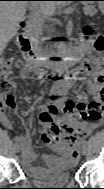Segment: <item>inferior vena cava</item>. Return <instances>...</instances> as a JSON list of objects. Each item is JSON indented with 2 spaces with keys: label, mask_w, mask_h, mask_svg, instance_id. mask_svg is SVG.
I'll use <instances>...</instances> for the list:
<instances>
[{
  "label": "inferior vena cava",
  "mask_w": 104,
  "mask_h": 189,
  "mask_svg": "<svg viewBox=\"0 0 104 189\" xmlns=\"http://www.w3.org/2000/svg\"><path fill=\"white\" fill-rule=\"evenodd\" d=\"M41 32H42V29L40 27H37L35 30L36 35L39 36Z\"/></svg>",
  "instance_id": "inferior-vena-cava-1"
}]
</instances>
